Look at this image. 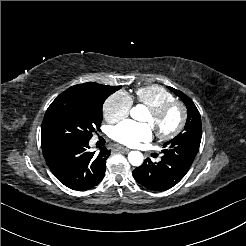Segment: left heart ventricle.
<instances>
[{
	"instance_id": "b2bd125f",
	"label": "left heart ventricle",
	"mask_w": 246,
	"mask_h": 246,
	"mask_svg": "<svg viewBox=\"0 0 246 246\" xmlns=\"http://www.w3.org/2000/svg\"><path fill=\"white\" fill-rule=\"evenodd\" d=\"M180 117V112L178 109H173L167 115H165L160 120L153 122L149 113L146 116L145 122L150 124L152 128L156 131L166 132L171 130L178 122Z\"/></svg>"
}]
</instances>
